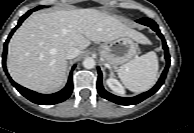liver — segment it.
I'll use <instances>...</instances> for the list:
<instances>
[{
    "label": "liver",
    "mask_w": 194,
    "mask_h": 133,
    "mask_svg": "<svg viewBox=\"0 0 194 133\" xmlns=\"http://www.w3.org/2000/svg\"><path fill=\"white\" fill-rule=\"evenodd\" d=\"M122 36L149 43L122 20L96 9L35 13L11 38L7 68L18 84L41 93L55 92L67 79L68 47H76L81 53L90 41L110 42Z\"/></svg>",
    "instance_id": "liver-1"
}]
</instances>
